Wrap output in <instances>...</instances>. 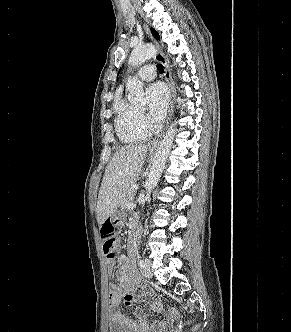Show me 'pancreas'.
I'll return each instance as SVG.
<instances>
[{
	"mask_svg": "<svg viewBox=\"0 0 291 332\" xmlns=\"http://www.w3.org/2000/svg\"><path fill=\"white\" fill-rule=\"evenodd\" d=\"M135 188H128L122 195L119 201V205L122 209H126L129 203H132L135 195Z\"/></svg>",
	"mask_w": 291,
	"mask_h": 332,
	"instance_id": "1",
	"label": "pancreas"
}]
</instances>
